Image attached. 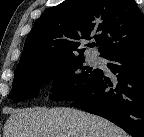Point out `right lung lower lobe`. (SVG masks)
<instances>
[{"instance_id": "obj_1", "label": "right lung lower lobe", "mask_w": 144, "mask_h": 137, "mask_svg": "<svg viewBox=\"0 0 144 137\" xmlns=\"http://www.w3.org/2000/svg\"><path fill=\"white\" fill-rule=\"evenodd\" d=\"M106 59L115 78L101 71L71 106L104 117L133 137H144V42Z\"/></svg>"}]
</instances>
